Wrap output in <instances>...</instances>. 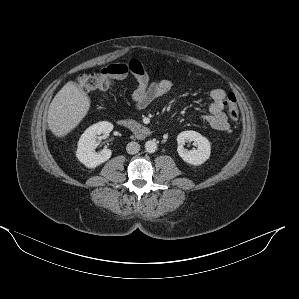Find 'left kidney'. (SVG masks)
<instances>
[{"instance_id": "obj_1", "label": "left kidney", "mask_w": 299, "mask_h": 299, "mask_svg": "<svg viewBox=\"0 0 299 299\" xmlns=\"http://www.w3.org/2000/svg\"><path fill=\"white\" fill-rule=\"evenodd\" d=\"M186 141H194L197 149L184 148ZM178 154L188 164L199 166L207 161L211 154V146L208 139L196 131H183L177 136Z\"/></svg>"}]
</instances>
